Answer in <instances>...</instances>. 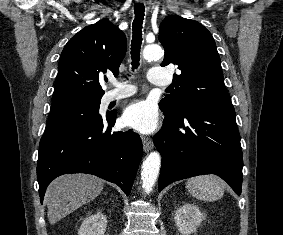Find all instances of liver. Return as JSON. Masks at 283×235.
I'll list each match as a JSON object with an SVG mask.
<instances>
[{
    "label": "liver",
    "instance_id": "1",
    "mask_svg": "<svg viewBox=\"0 0 283 235\" xmlns=\"http://www.w3.org/2000/svg\"><path fill=\"white\" fill-rule=\"evenodd\" d=\"M104 181L88 174H66L48 186L45 199L51 225L95 199L103 190Z\"/></svg>",
    "mask_w": 283,
    "mask_h": 235
}]
</instances>
